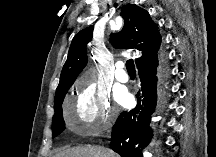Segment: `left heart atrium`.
<instances>
[{"label": "left heart atrium", "instance_id": "39dd6f15", "mask_svg": "<svg viewBox=\"0 0 216 157\" xmlns=\"http://www.w3.org/2000/svg\"><path fill=\"white\" fill-rule=\"evenodd\" d=\"M116 99L123 106L129 105L131 102V96L125 89H121L117 92Z\"/></svg>", "mask_w": 216, "mask_h": 157}]
</instances>
